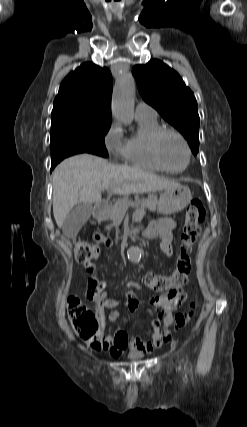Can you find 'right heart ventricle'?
<instances>
[{
    "label": "right heart ventricle",
    "mask_w": 247,
    "mask_h": 427,
    "mask_svg": "<svg viewBox=\"0 0 247 427\" xmlns=\"http://www.w3.org/2000/svg\"><path fill=\"white\" fill-rule=\"evenodd\" d=\"M135 132L124 142L123 158L126 162L152 171H164L151 152V139L162 126L156 117H139Z\"/></svg>",
    "instance_id": "1"
}]
</instances>
